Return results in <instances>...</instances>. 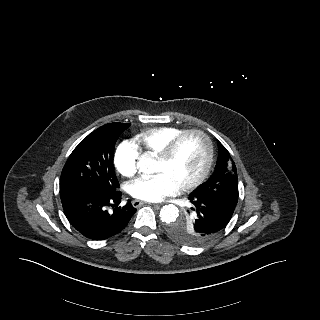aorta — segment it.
I'll list each match as a JSON object with an SVG mask.
<instances>
[{"label": "aorta", "instance_id": "762f6f07", "mask_svg": "<svg viewBox=\"0 0 320 320\" xmlns=\"http://www.w3.org/2000/svg\"><path fill=\"white\" fill-rule=\"evenodd\" d=\"M155 163L156 161L151 158L141 157L138 162L139 170L142 173L151 174L155 172ZM160 219L164 223H172L179 216L178 208L173 204L165 205L160 210Z\"/></svg>", "mask_w": 320, "mask_h": 320}]
</instances>
